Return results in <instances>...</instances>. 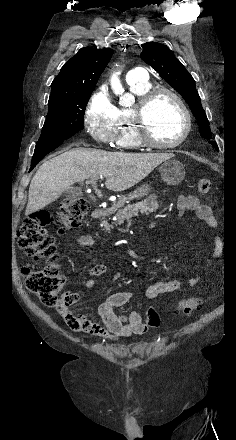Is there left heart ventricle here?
<instances>
[{
	"mask_svg": "<svg viewBox=\"0 0 236 440\" xmlns=\"http://www.w3.org/2000/svg\"><path fill=\"white\" fill-rule=\"evenodd\" d=\"M151 136L159 143L179 139L185 127L183 113L177 102L169 95L159 96L148 112Z\"/></svg>",
	"mask_w": 236,
	"mask_h": 440,
	"instance_id": "left-heart-ventricle-1",
	"label": "left heart ventricle"
}]
</instances>
